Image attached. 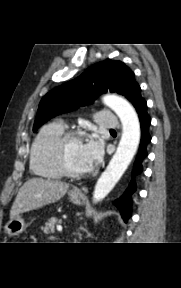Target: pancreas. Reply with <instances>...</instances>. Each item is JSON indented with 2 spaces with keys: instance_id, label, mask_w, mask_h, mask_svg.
Masks as SVG:
<instances>
[{
  "instance_id": "1",
  "label": "pancreas",
  "mask_w": 181,
  "mask_h": 288,
  "mask_svg": "<svg viewBox=\"0 0 181 288\" xmlns=\"http://www.w3.org/2000/svg\"><path fill=\"white\" fill-rule=\"evenodd\" d=\"M57 223H61V220L57 219L55 217L48 219V221L45 223V226L42 227L43 232L45 234L54 233L55 224H57Z\"/></svg>"
}]
</instances>
